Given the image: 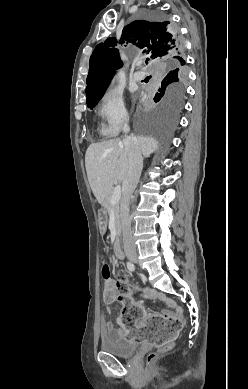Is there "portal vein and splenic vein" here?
I'll return each mask as SVG.
<instances>
[{
    "label": "portal vein and splenic vein",
    "instance_id": "portal-vein-and-splenic-vein-1",
    "mask_svg": "<svg viewBox=\"0 0 248 389\" xmlns=\"http://www.w3.org/2000/svg\"><path fill=\"white\" fill-rule=\"evenodd\" d=\"M120 198H121V187L120 186H116L114 188V191H113V194H112V197H111V203L115 204V203L119 202Z\"/></svg>",
    "mask_w": 248,
    "mask_h": 389
}]
</instances>
